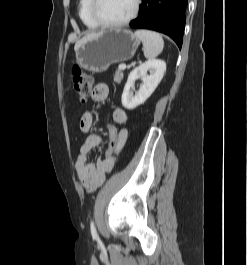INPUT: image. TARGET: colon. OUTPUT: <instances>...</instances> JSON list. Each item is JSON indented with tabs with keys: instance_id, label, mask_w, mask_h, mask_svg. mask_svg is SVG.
I'll use <instances>...</instances> for the list:
<instances>
[{
	"instance_id": "colon-1",
	"label": "colon",
	"mask_w": 247,
	"mask_h": 265,
	"mask_svg": "<svg viewBox=\"0 0 247 265\" xmlns=\"http://www.w3.org/2000/svg\"><path fill=\"white\" fill-rule=\"evenodd\" d=\"M72 74L74 90L80 102L84 103L92 93L93 79L78 65H75L73 67ZM108 131L110 136V142L104 157L106 162H109L114 159V157L118 153V149L120 146V132L118 128L113 124H109Z\"/></svg>"
}]
</instances>
